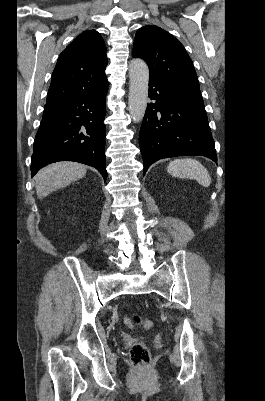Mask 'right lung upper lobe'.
<instances>
[{"label": "right lung upper lobe", "mask_w": 265, "mask_h": 401, "mask_svg": "<svg viewBox=\"0 0 265 401\" xmlns=\"http://www.w3.org/2000/svg\"><path fill=\"white\" fill-rule=\"evenodd\" d=\"M106 66L103 38L94 30L84 31L60 54L45 106L104 89Z\"/></svg>", "instance_id": "cb5924a9"}]
</instances>
